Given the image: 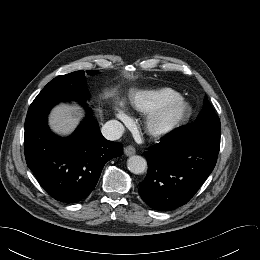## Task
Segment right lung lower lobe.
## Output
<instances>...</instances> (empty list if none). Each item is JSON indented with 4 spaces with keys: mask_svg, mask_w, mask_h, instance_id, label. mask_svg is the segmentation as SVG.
Here are the masks:
<instances>
[{
    "mask_svg": "<svg viewBox=\"0 0 260 260\" xmlns=\"http://www.w3.org/2000/svg\"><path fill=\"white\" fill-rule=\"evenodd\" d=\"M57 103L38 101L30 105L25 120V158L49 195L60 202L76 203L90 195L105 163L121 156L123 147L103 137L91 113L69 137L54 135L47 117Z\"/></svg>",
    "mask_w": 260,
    "mask_h": 260,
    "instance_id": "right-lung-lower-lobe-1",
    "label": "right lung lower lobe"
}]
</instances>
